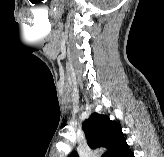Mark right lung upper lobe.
<instances>
[{
    "instance_id": "cb5924a9",
    "label": "right lung upper lobe",
    "mask_w": 164,
    "mask_h": 157,
    "mask_svg": "<svg viewBox=\"0 0 164 157\" xmlns=\"http://www.w3.org/2000/svg\"><path fill=\"white\" fill-rule=\"evenodd\" d=\"M88 145L92 149L105 147L108 151L102 157H114L125 142L121 126L108 116L92 113L82 126ZM69 157H79L73 151Z\"/></svg>"
}]
</instances>
